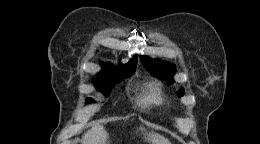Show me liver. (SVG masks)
<instances>
[{
    "label": "liver",
    "instance_id": "liver-1",
    "mask_svg": "<svg viewBox=\"0 0 260 144\" xmlns=\"http://www.w3.org/2000/svg\"><path fill=\"white\" fill-rule=\"evenodd\" d=\"M139 130L144 134L145 140L151 144H171L167 138L157 133H148L143 127H140ZM108 137L109 135L104 127L102 125H97L84 134L82 142L83 144H106Z\"/></svg>",
    "mask_w": 260,
    "mask_h": 144
}]
</instances>
